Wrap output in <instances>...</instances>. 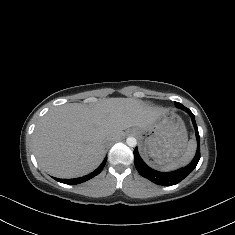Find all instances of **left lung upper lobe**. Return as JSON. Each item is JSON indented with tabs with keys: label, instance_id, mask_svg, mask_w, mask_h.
Wrapping results in <instances>:
<instances>
[{
	"label": "left lung upper lobe",
	"instance_id": "1",
	"mask_svg": "<svg viewBox=\"0 0 235 235\" xmlns=\"http://www.w3.org/2000/svg\"><path fill=\"white\" fill-rule=\"evenodd\" d=\"M176 107L186 110L187 108L185 106H183L182 104H180L179 102H175Z\"/></svg>",
	"mask_w": 235,
	"mask_h": 235
}]
</instances>
